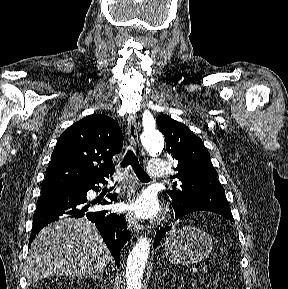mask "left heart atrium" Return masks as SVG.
Returning a JSON list of instances; mask_svg holds the SVG:
<instances>
[{"label": "left heart atrium", "instance_id": "1", "mask_svg": "<svg viewBox=\"0 0 288 289\" xmlns=\"http://www.w3.org/2000/svg\"><path fill=\"white\" fill-rule=\"evenodd\" d=\"M126 210L131 211L140 216H151L157 212V204L152 196L144 195L136 202L126 205Z\"/></svg>", "mask_w": 288, "mask_h": 289}]
</instances>
